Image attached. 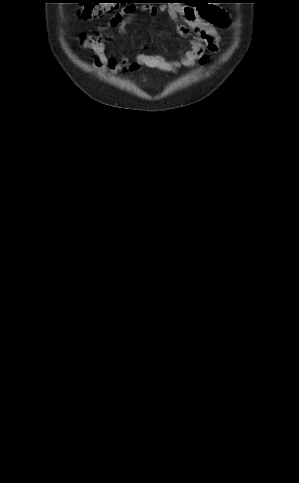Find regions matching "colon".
<instances>
[{"label": "colon", "instance_id": "5ec220e1", "mask_svg": "<svg viewBox=\"0 0 299 483\" xmlns=\"http://www.w3.org/2000/svg\"><path fill=\"white\" fill-rule=\"evenodd\" d=\"M83 5L78 11L79 16L84 19H98L113 12L117 3L116 0H83ZM206 4V3H205ZM205 4H199L198 10L202 18H208L205 12Z\"/></svg>", "mask_w": 299, "mask_h": 483}]
</instances>
